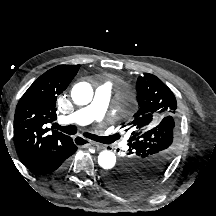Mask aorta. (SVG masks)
<instances>
[{
	"label": "aorta",
	"instance_id": "aorta-1",
	"mask_svg": "<svg viewBox=\"0 0 216 216\" xmlns=\"http://www.w3.org/2000/svg\"><path fill=\"white\" fill-rule=\"evenodd\" d=\"M71 96L75 104L87 105L92 101L93 89L90 84L81 82L73 87ZM98 164L105 170L112 169L116 164L115 154L109 150L100 152L98 156Z\"/></svg>",
	"mask_w": 216,
	"mask_h": 216
}]
</instances>
